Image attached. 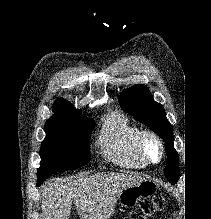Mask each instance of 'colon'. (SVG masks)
I'll return each mask as SVG.
<instances>
[{"label":"colon","mask_w":211,"mask_h":219,"mask_svg":"<svg viewBox=\"0 0 211 219\" xmlns=\"http://www.w3.org/2000/svg\"><path fill=\"white\" fill-rule=\"evenodd\" d=\"M167 199L163 196H156L148 201L142 202L132 214L124 219H149L166 207Z\"/></svg>","instance_id":"5ec220e1"}]
</instances>
